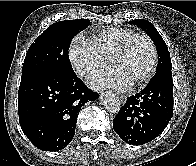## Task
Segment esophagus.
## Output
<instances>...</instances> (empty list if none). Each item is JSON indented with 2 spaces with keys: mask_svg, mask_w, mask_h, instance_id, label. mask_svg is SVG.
<instances>
[{
  "mask_svg": "<svg viewBox=\"0 0 196 166\" xmlns=\"http://www.w3.org/2000/svg\"><path fill=\"white\" fill-rule=\"evenodd\" d=\"M119 99H120V102L123 103V104H124V103L126 102V100H127L126 96H124V95L119 96Z\"/></svg>",
  "mask_w": 196,
  "mask_h": 166,
  "instance_id": "esophagus-1",
  "label": "esophagus"
}]
</instances>
